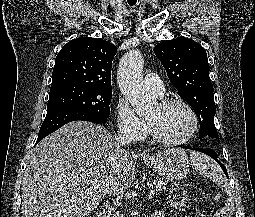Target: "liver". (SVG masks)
<instances>
[{"mask_svg":"<svg viewBox=\"0 0 255 217\" xmlns=\"http://www.w3.org/2000/svg\"><path fill=\"white\" fill-rule=\"evenodd\" d=\"M135 175L133 156L116 150L108 130L70 122L30 152L22 182V217H83L107 194L125 192Z\"/></svg>","mask_w":255,"mask_h":217,"instance_id":"1","label":"liver"}]
</instances>
